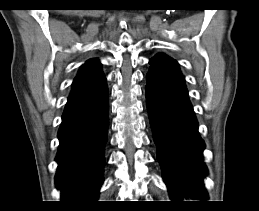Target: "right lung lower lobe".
<instances>
[{"label":"right lung lower lobe","instance_id":"right-lung-lower-lobe-1","mask_svg":"<svg viewBox=\"0 0 259 211\" xmlns=\"http://www.w3.org/2000/svg\"><path fill=\"white\" fill-rule=\"evenodd\" d=\"M106 81L83 96L68 99L58 132L56 186L62 201H95L103 183L108 130Z\"/></svg>","mask_w":259,"mask_h":211}]
</instances>
